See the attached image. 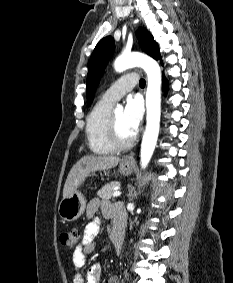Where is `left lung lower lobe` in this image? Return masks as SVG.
Masks as SVG:
<instances>
[{
	"label": "left lung lower lobe",
	"mask_w": 233,
	"mask_h": 283,
	"mask_svg": "<svg viewBox=\"0 0 233 283\" xmlns=\"http://www.w3.org/2000/svg\"><path fill=\"white\" fill-rule=\"evenodd\" d=\"M159 59H160V57H159L157 60H159ZM163 81L165 82L164 86H165V88H166V87H167V85H166L165 77H163Z\"/></svg>",
	"instance_id": "0a47b994"
}]
</instances>
